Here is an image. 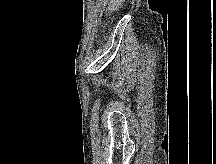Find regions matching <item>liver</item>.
<instances>
[{
  "label": "liver",
  "instance_id": "obj_1",
  "mask_svg": "<svg viewBox=\"0 0 216 164\" xmlns=\"http://www.w3.org/2000/svg\"><path fill=\"white\" fill-rule=\"evenodd\" d=\"M125 0H111L110 5L108 6L107 10L110 12L118 11L119 8L123 7V3Z\"/></svg>",
  "mask_w": 216,
  "mask_h": 164
}]
</instances>
